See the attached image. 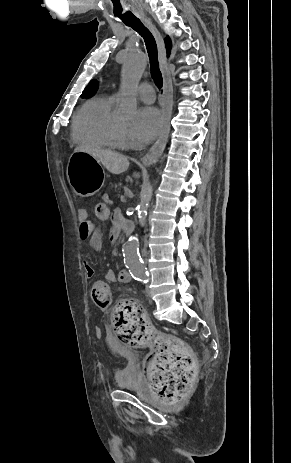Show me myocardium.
Instances as JSON below:
<instances>
[{
    "instance_id": "myocardium-1",
    "label": "myocardium",
    "mask_w": 291,
    "mask_h": 463,
    "mask_svg": "<svg viewBox=\"0 0 291 463\" xmlns=\"http://www.w3.org/2000/svg\"><path fill=\"white\" fill-rule=\"evenodd\" d=\"M114 142L116 146L126 148L129 146L127 130L118 122L114 125Z\"/></svg>"
}]
</instances>
